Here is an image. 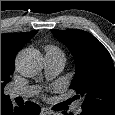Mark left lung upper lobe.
Segmentation results:
<instances>
[{
  "label": "left lung upper lobe",
  "instance_id": "obj_1",
  "mask_svg": "<svg viewBox=\"0 0 115 115\" xmlns=\"http://www.w3.org/2000/svg\"><path fill=\"white\" fill-rule=\"evenodd\" d=\"M52 33L74 56L76 72L70 88L84 98L82 112L115 115V70L107 49L83 30L53 29Z\"/></svg>",
  "mask_w": 115,
  "mask_h": 115
}]
</instances>
